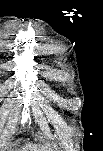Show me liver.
Returning <instances> with one entry per match:
<instances>
[{"mask_svg": "<svg viewBox=\"0 0 103 151\" xmlns=\"http://www.w3.org/2000/svg\"><path fill=\"white\" fill-rule=\"evenodd\" d=\"M20 151H54V150L49 146L45 145L27 144L26 146L22 147Z\"/></svg>", "mask_w": 103, "mask_h": 151, "instance_id": "1", "label": "liver"}]
</instances>
